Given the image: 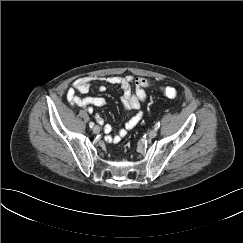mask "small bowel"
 <instances>
[{"label":"small bowel","instance_id":"c3829d8e","mask_svg":"<svg viewBox=\"0 0 243 243\" xmlns=\"http://www.w3.org/2000/svg\"><path fill=\"white\" fill-rule=\"evenodd\" d=\"M99 80L98 77H80L76 79L71 87L67 91V99L72 105H77L79 107L87 109L92 112V107H102L106 104V101L102 97H81L77 93L85 94L89 91L91 83ZM104 81L119 87L122 90L121 101L123 107L127 110H136L137 113L133 115L126 123L124 128L117 130L114 134L109 135L107 140L112 143H118L127 135V132L134 128L143 118V112L141 111V106L147 98L146 90L154 85V81L138 77L133 78L132 76L120 77V76H110L104 78ZM134 85V89H132ZM100 92L106 90L105 85H100L98 87ZM98 122H102L103 119L96 115ZM104 131L109 134L112 131V127L109 124L104 126Z\"/></svg>","mask_w":243,"mask_h":243}]
</instances>
